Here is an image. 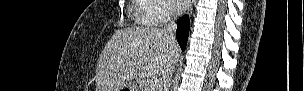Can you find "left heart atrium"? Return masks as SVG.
Returning a JSON list of instances; mask_svg holds the SVG:
<instances>
[{
    "label": "left heart atrium",
    "mask_w": 304,
    "mask_h": 91,
    "mask_svg": "<svg viewBox=\"0 0 304 91\" xmlns=\"http://www.w3.org/2000/svg\"><path fill=\"white\" fill-rule=\"evenodd\" d=\"M189 0H170L173 8L176 11H183L189 6Z\"/></svg>",
    "instance_id": "obj_1"
}]
</instances>
